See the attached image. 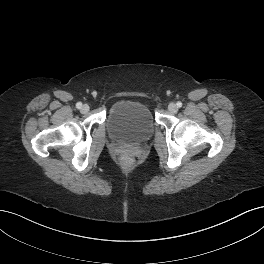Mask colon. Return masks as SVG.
<instances>
[{
    "label": "colon",
    "instance_id": "1",
    "mask_svg": "<svg viewBox=\"0 0 264 264\" xmlns=\"http://www.w3.org/2000/svg\"><path fill=\"white\" fill-rule=\"evenodd\" d=\"M124 161H125L126 163H128V162H129V160H128L127 158H125V159H124Z\"/></svg>",
    "mask_w": 264,
    "mask_h": 264
}]
</instances>
